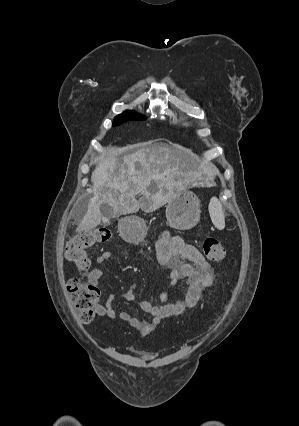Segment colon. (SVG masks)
<instances>
[{
    "instance_id": "obj_1",
    "label": "colon",
    "mask_w": 299,
    "mask_h": 426,
    "mask_svg": "<svg viewBox=\"0 0 299 426\" xmlns=\"http://www.w3.org/2000/svg\"><path fill=\"white\" fill-rule=\"evenodd\" d=\"M112 236L110 229L101 227L86 230L74 235L66 246V257L75 264L81 272H87L91 267V260L87 250L98 243L109 240ZM203 252L210 261L219 262L225 257V249L214 237H208L203 243ZM72 304L82 323H89L94 316V305L98 298V289L79 278H72L67 283Z\"/></svg>"
}]
</instances>
